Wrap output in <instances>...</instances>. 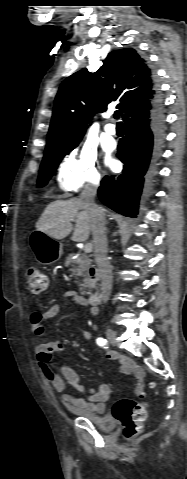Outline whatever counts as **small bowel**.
<instances>
[{
  "label": "small bowel",
  "mask_w": 187,
  "mask_h": 479,
  "mask_svg": "<svg viewBox=\"0 0 187 479\" xmlns=\"http://www.w3.org/2000/svg\"><path fill=\"white\" fill-rule=\"evenodd\" d=\"M67 301L73 302L80 306H86L87 300L76 291H67L64 293ZM68 303L53 304L49 308L41 312H34L31 315V328L34 338L39 342L37 345V360L44 378L50 385L61 394V400L64 406L71 411L84 410L92 413L102 414L106 411V401L110 395V388L106 384H101L96 389L86 390L80 385L78 373L69 365L61 367V374L55 372L50 367L51 360L55 354L63 349V345L59 342L41 343L42 331L47 320L56 317L62 309L67 308ZM91 331L85 330L83 338L90 339ZM106 357L120 364L122 372L133 375L137 382L136 394L140 397L144 396L143 380L144 371L130 359L106 351ZM66 383L73 386L80 393H88L87 397L74 396L66 393Z\"/></svg>",
  "instance_id": "1"
}]
</instances>
